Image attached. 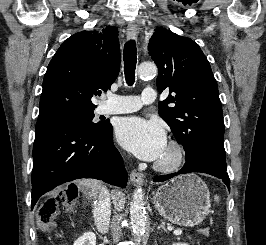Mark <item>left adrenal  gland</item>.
<instances>
[{
  "mask_svg": "<svg viewBox=\"0 0 266 245\" xmlns=\"http://www.w3.org/2000/svg\"><path fill=\"white\" fill-rule=\"evenodd\" d=\"M158 229H163V231H165V233H167V229L165 227L164 221H162V223H161V225H159Z\"/></svg>",
  "mask_w": 266,
  "mask_h": 245,
  "instance_id": "a2214340",
  "label": "left adrenal gland"
}]
</instances>
